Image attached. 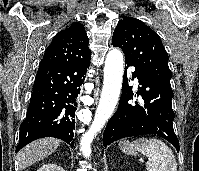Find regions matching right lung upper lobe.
Listing matches in <instances>:
<instances>
[{"mask_svg": "<svg viewBox=\"0 0 199 171\" xmlns=\"http://www.w3.org/2000/svg\"><path fill=\"white\" fill-rule=\"evenodd\" d=\"M88 42L84 26L74 22L53 38L40 64L76 63L87 60L91 57Z\"/></svg>", "mask_w": 199, "mask_h": 171, "instance_id": "1", "label": "right lung upper lobe"}]
</instances>
